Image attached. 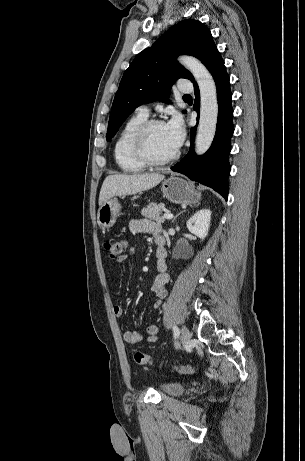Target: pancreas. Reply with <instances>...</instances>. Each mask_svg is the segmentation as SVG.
Wrapping results in <instances>:
<instances>
[{
    "label": "pancreas",
    "instance_id": "pancreas-1",
    "mask_svg": "<svg viewBox=\"0 0 305 461\" xmlns=\"http://www.w3.org/2000/svg\"><path fill=\"white\" fill-rule=\"evenodd\" d=\"M164 204L149 203L146 207L141 210V215L145 218L156 221L157 223H164L165 218L161 216L162 212L165 211Z\"/></svg>",
    "mask_w": 305,
    "mask_h": 461
}]
</instances>
